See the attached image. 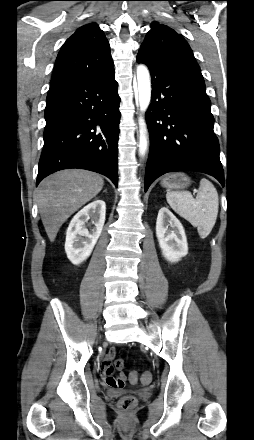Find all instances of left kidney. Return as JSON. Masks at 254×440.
<instances>
[{
	"mask_svg": "<svg viewBox=\"0 0 254 440\" xmlns=\"http://www.w3.org/2000/svg\"><path fill=\"white\" fill-rule=\"evenodd\" d=\"M156 236L162 254L169 262H178L187 255L188 244L184 228L167 207H162L158 212Z\"/></svg>",
	"mask_w": 254,
	"mask_h": 440,
	"instance_id": "1",
	"label": "left kidney"
}]
</instances>
